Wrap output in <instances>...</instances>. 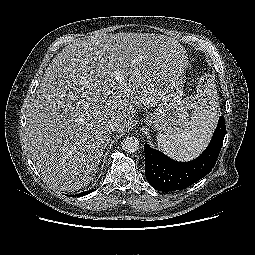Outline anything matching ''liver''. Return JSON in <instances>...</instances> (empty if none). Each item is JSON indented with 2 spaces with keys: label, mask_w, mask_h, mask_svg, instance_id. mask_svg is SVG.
Segmentation results:
<instances>
[{
  "label": "liver",
  "mask_w": 255,
  "mask_h": 255,
  "mask_svg": "<svg viewBox=\"0 0 255 255\" xmlns=\"http://www.w3.org/2000/svg\"><path fill=\"white\" fill-rule=\"evenodd\" d=\"M187 66L185 48L164 35L104 34L63 48L27 113L26 145L44 181L67 192L89 185L110 141L109 121L122 133Z\"/></svg>",
  "instance_id": "1"
}]
</instances>
